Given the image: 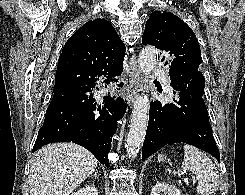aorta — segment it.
I'll return each mask as SVG.
<instances>
[{
  "label": "aorta",
  "mask_w": 245,
  "mask_h": 195,
  "mask_svg": "<svg viewBox=\"0 0 245 195\" xmlns=\"http://www.w3.org/2000/svg\"><path fill=\"white\" fill-rule=\"evenodd\" d=\"M157 60V50L153 46L142 49L138 57L139 67L144 75L150 74ZM149 100L145 94L135 99L130 126L126 138V153L129 158H135L144 141L149 118Z\"/></svg>",
  "instance_id": "1"
}]
</instances>
